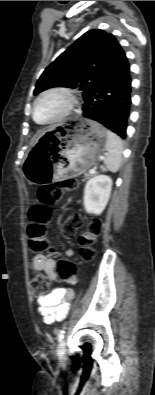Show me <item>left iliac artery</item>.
<instances>
[{"mask_svg":"<svg viewBox=\"0 0 155 395\" xmlns=\"http://www.w3.org/2000/svg\"><path fill=\"white\" fill-rule=\"evenodd\" d=\"M64 333H65L64 329L59 331V333H58V341H61L63 339Z\"/></svg>","mask_w":155,"mask_h":395,"instance_id":"obj_1","label":"left iliac artery"}]
</instances>
